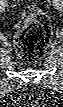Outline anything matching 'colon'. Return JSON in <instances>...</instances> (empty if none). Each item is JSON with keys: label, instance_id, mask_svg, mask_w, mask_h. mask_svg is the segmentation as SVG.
Masks as SVG:
<instances>
[{"label": "colon", "instance_id": "1", "mask_svg": "<svg viewBox=\"0 0 63 107\" xmlns=\"http://www.w3.org/2000/svg\"><path fill=\"white\" fill-rule=\"evenodd\" d=\"M51 37L50 22L36 6H29L23 13V25L15 34L19 56L34 62L45 53Z\"/></svg>", "mask_w": 63, "mask_h": 107}]
</instances>
